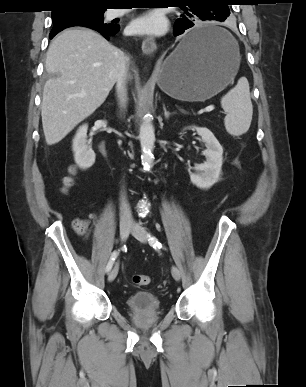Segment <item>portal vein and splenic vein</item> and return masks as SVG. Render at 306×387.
Instances as JSON below:
<instances>
[{"instance_id":"obj_1","label":"portal vein and splenic vein","mask_w":306,"mask_h":387,"mask_svg":"<svg viewBox=\"0 0 306 387\" xmlns=\"http://www.w3.org/2000/svg\"><path fill=\"white\" fill-rule=\"evenodd\" d=\"M214 106L213 105H209V106H207L206 108H205V111L206 112H211V111H213L214 110Z\"/></svg>"}]
</instances>
